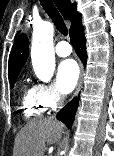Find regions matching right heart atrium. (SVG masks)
Returning a JSON list of instances; mask_svg holds the SVG:
<instances>
[{"instance_id": "d8ad5b80", "label": "right heart atrium", "mask_w": 114, "mask_h": 156, "mask_svg": "<svg viewBox=\"0 0 114 156\" xmlns=\"http://www.w3.org/2000/svg\"><path fill=\"white\" fill-rule=\"evenodd\" d=\"M37 94L41 103L46 109H52L57 107L63 100L62 95L57 90L55 85L49 83H41L36 85Z\"/></svg>"}]
</instances>
